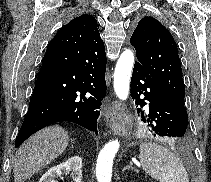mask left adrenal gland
Masks as SVG:
<instances>
[{
    "mask_svg": "<svg viewBox=\"0 0 211 182\" xmlns=\"http://www.w3.org/2000/svg\"><path fill=\"white\" fill-rule=\"evenodd\" d=\"M132 165H133V163L130 162V164L127 165L126 167H124L122 171L124 172V171L127 170V169H131V170L136 171V169H135Z\"/></svg>",
    "mask_w": 211,
    "mask_h": 182,
    "instance_id": "a2214340",
    "label": "left adrenal gland"
}]
</instances>
